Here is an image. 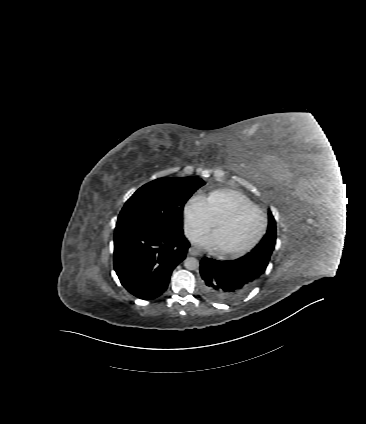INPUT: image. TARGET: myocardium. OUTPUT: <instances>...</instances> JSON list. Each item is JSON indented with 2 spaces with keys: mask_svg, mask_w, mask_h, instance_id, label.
Instances as JSON below:
<instances>
[{
  "mask_svg": "<svg viewBox=\"0 0 366 424\" xmlns=\"http://www.w3.org/2000/svg\"><path fill=\"white\" fill-rule=\"evenodd\" d=\"M247 210H255L261 215L262 227H261L259 234L250 244H248L247 246H245L241 249L226 250V249L218 248L217 251L220 255H222L224 257H240V256L245 255L248 252L252 251L262 241V239L265 236L266 231H267L268 220H267V216H266V213L264 212V210L256 204H244V205L238 206L235 209L228 212L227 214H225L224 216L217 219L213 223L212 235L214 234V232L217 230L218 227H220L221 225H224L226 223L231 222L238 215H240L241 213H243Z\"/></svg>",
  "mask_w": 366,
  "mask_h": 424,
  "instance_id": "obj_1",
  "label": "myocardium"
}]
</instances>
